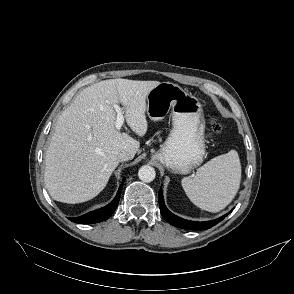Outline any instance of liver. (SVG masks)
Instances as JSON below:
<instances>
[{
    "instance_id": "liver-1",
    "label": "liver",
    "mask_w": 294,
    "mask_h": 294,
    "mask_svg": "<svg viewBox=\"0 0 294 294\" xmlns=\"http://www.w3.org/2000/svg\"><path fill=\"white\" fill-rule=\"evenodd\" d=\"M159 81L109 79L82 90L58 117L45 157V185L51 197L75 204L91 200L107 185L119 164L118 154L133 157L139 141L115 127L120 103L128 126L147 132L146 97Z\"/></svg>"
}]
</instances>
